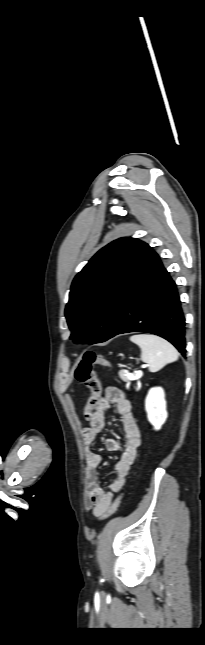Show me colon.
Returning a JSON list of instances; mask_svg holds the SVG:
<instances>
[{
    "label": "colon",
    "instance_id": "5ec220e1",
    "mask_svg": "<svg viewBox=\"0 0 205 645\" xmlns=\"http://www.w3.org/2000/svg\"><path fill=\"white\" fill-rule=\"evenodd\" d=\"M96 364L107 367L111 365L104 357L97 355L92 351L85 352L79 360L74 372L75 378L79 382L85 384L91 392L84 408V416L87 419L91 418L93 409L97 405L101 393V383L94 371V365ZM123 495L124 493L119 494L118 497L110 504L107 510L100 516L101 521L109 518L118 510Z\"/></svg>",
    "mask_w": 205,
    "mask_h": 645
}]
</instances>
